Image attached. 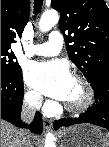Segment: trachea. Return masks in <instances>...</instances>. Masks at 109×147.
Returning <instances> with one entry per match:
<instances>
[{
  "instance_id": "1",
  "label": "trachea",
  "mask_w": 109,
  "mask_h": 147,
  "mask_svg": "<svg viewBox=\"0 0 109 147\" xmlns=\"http://www.w3.org/2000/svg\"><path fill=\"white\" fill-rule=\"evenodd\" d=\"M42 5H43V0L34 1V14H38L41 11Z\"/></svg>"
}]
</instances>
